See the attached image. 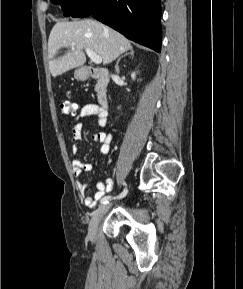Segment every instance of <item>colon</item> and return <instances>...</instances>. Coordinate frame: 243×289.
I'll list each match as a JSON object with an SVG mask.
<instances>
[{"instance_id":"5ec220e1","label":"colon","mask_w":243,"mask_h":289,"mask_svg":"<svg viewBox=\"0 0 243 289\" xmlns=\"http://www.w3.org/2000/svg\"><path fill=\"white\" fill-rule=\"evenodd\" d=\"M60 109L64 115H75L77 111V105L70 100H62L60 102Z\"/></svg>"}]
</instances>
